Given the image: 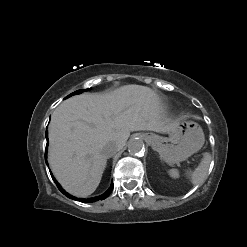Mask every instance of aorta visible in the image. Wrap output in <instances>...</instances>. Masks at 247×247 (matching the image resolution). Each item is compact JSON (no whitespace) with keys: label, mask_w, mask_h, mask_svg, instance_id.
<instances>
[{"label":"aorta","mask_w":247,"mask_h":247,"mask_svg":"<svg viewBox=\"0 0 247 247\" xmlns=\"http://www.w3.org/2000/svg\"><path fill=\"white\" fill-rule=\"evenodd\" d=\"M144 144L142 140L134 138L128 144V151L131 155H139L143 152Z\"/></svg>","instance_id":"1"}]
</instances>
